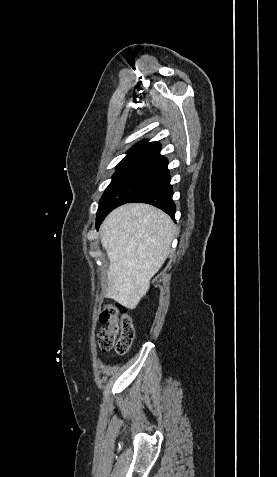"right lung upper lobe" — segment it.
<instances>
[{
	"label": "right lung upper lobe",
	"instance_id": "cb5924a9",
	"mask_svg": "<svg viewBox=\"0 0 277 477\" xmlns=\"http://www.w3.org/2000/svg\"><path fill=\"white\" fill-rule=\"evenodd\" d=\"M160 149L158 142L141 141L128 151L127 156L117 165V169L133 166L162 169L168 161L160 155Z\"/></svg>",
	"mask_w": 277,
	"mask_h": 477
}]
</instances>
